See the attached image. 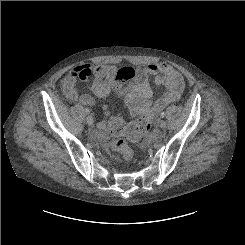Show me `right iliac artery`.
<instances>
[{"label":"right iliac artery","mask_w":245,"mask_h":245,"mask_svg":"<svg viewBox=\"0 0 245 245\" xmlns=\"http://www.w3.org/2000/svg\"><path fill=\"white\" fill-rule=\"evenodd\" d=\"M85 112H86V114H89L90 110L88 108H85Z\"/></svg>","instance_id":"right-iliac-artery-1"}]
</instances>
